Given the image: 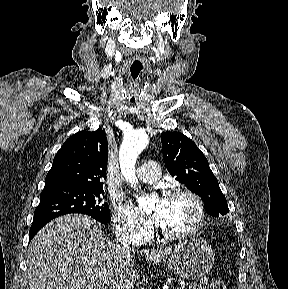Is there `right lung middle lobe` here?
<instances>
[{"mask_svg": "<svg viewBox=\"0 0 288 289\" xmlns=\"http://www.w3.org/2000/svg\"><path fill=\"white\" fill-rule=\"evenodd\" d=\"M103 187L46 188L34 212L35 219L55 218L68 213L86 214L101 223L110 221V209L103 201Z\"/></svg>", "mask_w": 288, "mask_h": 289, "instance_id": "obj_1", "label": "right lung middle lobe"}]
</instances>
